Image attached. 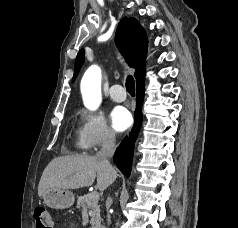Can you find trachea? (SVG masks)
<instances>
[{
    "mask_svg": "<svg viewBox=\"0 0 238 228\" xmlns=\"http://www.w3.org/2000/svg\"><path fill=\"white\" fill-rule=\"evenodd\" d=\"M126 90L130 95H135V82L132 76H128L126 79Z\"/></svg>",
    "mask_w": 238,
    "mask_h": 228,
    "instance_id": "3493384b",
    "label": "trachea"
}]
</instances>
